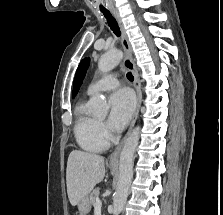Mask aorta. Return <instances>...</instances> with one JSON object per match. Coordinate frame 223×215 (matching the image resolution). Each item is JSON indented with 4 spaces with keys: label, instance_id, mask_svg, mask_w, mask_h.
Listing matches in <instances>:
<instances>
[{
    "label": "aorta",
    "instance_id": "762f6f07",
    "mask_svg": "<svg viewBox=\"0 0 223 215\" xmlns=\"http://www.w3.org/2000/svg\"><path fill=\"white\" fill-rule=\"evenodd\" d=\"M122 58L123 54L120 50H108L106 54L101 56L98 62L99 72H102V74L110 72V70H113L115 66L120 64ZM90 106L96 115H107L108 113L107 102L102 96H94V98H91ZM139 135L140 127L137 125L129 133L120 153L118 185L113 199V215H118L122 211L127 199L133 177V155L138 145Z\"/></svg>",
    "mask_w": 223,
    "mask_h": 215
}]
</instances>
